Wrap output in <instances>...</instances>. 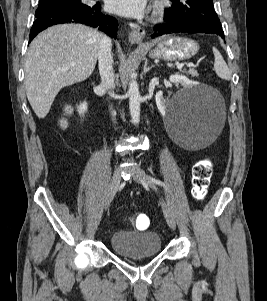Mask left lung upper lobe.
I'll return each mask as SVG.
<instances>
[{"label": "left lung upper lobe", "instance_id": "left-lung-upper-lobe-1", "mask_svg": "<svg viewBox=\"0 0 267 301\" xmlns=\"http://www.w3.org/2000/svg\"><path fill=\"white\" fill-rule=\"evenodd\" d=\"M173 5L165 11L170 22L196 21L222 30L220 20L213 8V0H171Z\"/></svg>", "mask_w": 267, "mask_h": 301}]
</instances>
